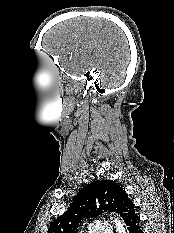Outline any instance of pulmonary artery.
<instances>
[{
    "label": "pulmonary artery",
    "mask_w": 174,
    "mask_h": 233,
    "mask_svg": "<svg viewBox=\"0 0 174 233\" xmlns=\"http://www.w3.org/2000/svg\"><path fill=\"white\" fill-rule=\"evenodd\" d=\"M96 233H112V227L107 222H98L95 225Z\"/></svg>",
    "instance_id": "pulmonary-artery-1"
}]
</instances>
